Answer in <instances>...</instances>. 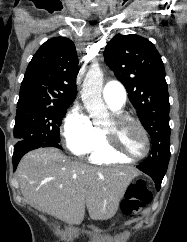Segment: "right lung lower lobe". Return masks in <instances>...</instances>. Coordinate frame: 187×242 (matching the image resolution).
Here are the masks:
<instances>
[{"instance_id": "98d812e1", "label": "right lung lower lobe", "mask_w": 187, "mask_h": 242, "mask_svg": "<svg viewBox=\"0 0 187 242\" xmlns=\"http://www.w3.org/2000/svg\"><path fill=\"white\" fill-rule=\"evenodd\" d=\"M40 147H56V148L62 149V147L58 143L42 142V141H36V140H20L17 142L14 148V154H13L14 171L16 170L17 165L24 154Z\"/></svg>"}]
</instances>
